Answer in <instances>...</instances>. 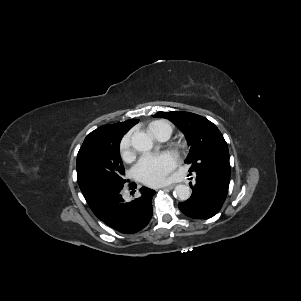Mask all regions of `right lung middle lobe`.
Masks as SVG:
<instances>
[{"label":"right lung middle lobe","mask_w":301,"mask_h":301,"mask_svg":"<svg viewBox=\"0 0 301 301\" xmlns=\"http://www.w3.org/2000/svg\"><path fill=\"white\" fill-rule=\"evenodd\" d=\"M119 146L120 140L94 135L85 138L78 152L77 182L93 212L104 196L126 182Z\"/></svg>","instance_id":"1"}]
</instances>
